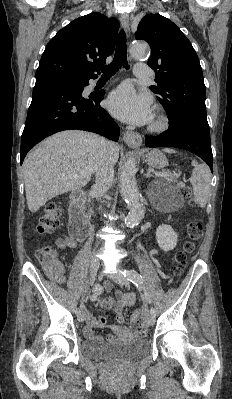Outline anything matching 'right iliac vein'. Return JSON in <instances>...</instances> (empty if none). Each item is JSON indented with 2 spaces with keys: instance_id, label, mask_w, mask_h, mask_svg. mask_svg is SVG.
<instances>
[{
  "instance_id": "right-iliac-vein-1",
  "label": "right iliac vein",
  "mask_w": 232,
  "mask_h": 399,
  "mask_svg": "<svg viewBox=\"0 0 232 399\" xmlns=\"http://www.w3.org/2000/svg\"><path fill=\"white\" fill-rule=\"evenodd\" d=\"M99 265H100L99 261H90V266H89L90 277H89V280H90L91 283H94L95 280H96L97 270H99ZM76 319L79 320V323L83 322V316L82 315L77 316Z\"/></svg>"
}]
</instances>
